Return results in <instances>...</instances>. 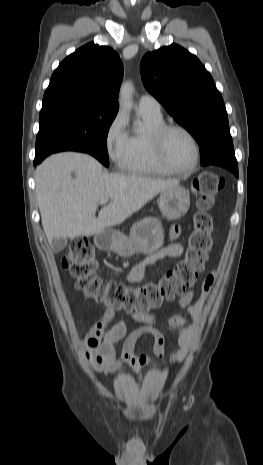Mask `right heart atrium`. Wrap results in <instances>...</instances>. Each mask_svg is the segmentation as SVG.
I'll use <instances>...</instances> for the list:
<instances>
[{
  "instance_id": "1",
  "label": "right heart atrium",
  "mask_w": 263,
  "mask_h": 465,
  "mask_svg": "<svg viewBox=\"0 0 263 465\" xmlns=\"http://www.w3.org/2000/svg\"><path fill=\"white\" fill-rule=\"evenodd\" d=\"M128 140L125 118L121 113H117L109 122L104 135L106 155L117 168L125 167Z\"/></svg>"
}]
</instances>
